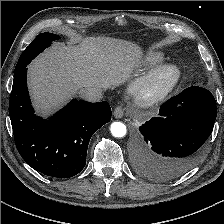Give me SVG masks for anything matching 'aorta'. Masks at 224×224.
<instances>
[{
  "instance_id": "762f6f07",
  "label": "aorta",
  "mask_w": 224,
  "mask_h": 224,
  "mask_svg": "<svg viewBox=\"0 0 224 224\" xmlns=\"http://www.w3.org/2000/svg\"><path fill=\"white\" fill-rule=\"evenodd\" d=\"M111 134L116 138H121L126 135L127 129L122 122H113L110 126Z\"/></svg>"
}]
</instances>
